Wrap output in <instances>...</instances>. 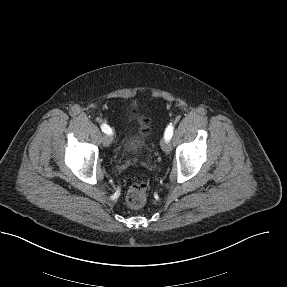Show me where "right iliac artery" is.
Returning <instances> with one entry per match:
<instances>
[{"label": "right iliac artery", "mask_w": 287, "mask_h": 287, "mask_svg": "<svg viewBox=\"0 0 287 287\" xmlns=\"http://www.w3.org/2000/svg\"><path fill=\"white\" fill-rule=\"evenodd\" d=\"M101 129L104 133H106L108 135L112 134V130L107 124H102Z\"/></svg>", "instance_id": "obj_1"}]
</instances>
